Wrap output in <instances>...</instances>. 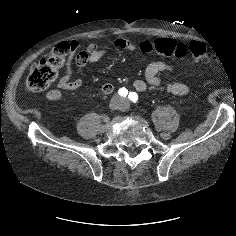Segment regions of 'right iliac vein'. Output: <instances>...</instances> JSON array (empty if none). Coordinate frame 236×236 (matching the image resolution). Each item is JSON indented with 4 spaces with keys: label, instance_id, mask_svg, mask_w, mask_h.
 Returning <instances> with one entry per match:
<instances>
[{
    "label": "right iliac vein",
    "instance_id": "1",
    "mask_svg": "<svg viewBox=\"0 0 236 236\" xmlns=\"http://www.w3.org/2000/svg\"><path fill=\"white\" fill-rule=\"evenodd\" d=\"M110 107H111L112 109H114L115 107H117V103H116V102H113V103L110 105Z\"/></svg>",
    "mask_w": 236,
    "mask_h": 236
}]
</instances>
